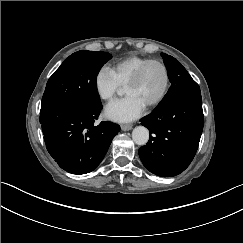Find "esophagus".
Returning a JSON list of instances; mask_svg holds the SVG:
<instances>
[{
  "label": "esophagus",
  "mask_w": 243,
  "mask_h": 243,
  "mask_svg": "<svg viewBox=\"0 0 243 243\" xmlns=\"http://www.w3.org/2000/svg\"><path fill=\"white\" fill-rule=\"evenodd\" d=\"M121 129H122L123 131H129V130L132 129V125H130V124H122V125H121Z\"/></svg>",
  "instance_id": "34e87169"
}]
</instances>
